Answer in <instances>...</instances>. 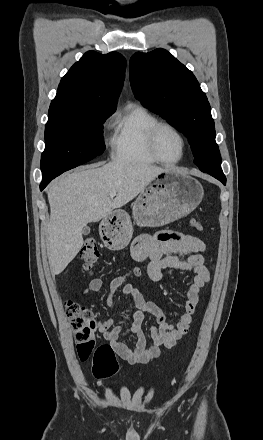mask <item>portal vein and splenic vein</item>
Listing matches in <instances>:
<instances>
[{
	"label": "portal vein and splenic vein",
	"instance_id": "18ae733b",
	"mask_svg": "<svg viewBox=\"0 0 263 440\" xmlns=\"http://www.w3.org/2000/svg\"><path fill=\"white\" fill-rule=\"evenodd\" d=\"M109 195H110L111 198L115 197V196H116V191H112V192H110Z\"/></svg>",
	"mask_w": 263,
	"mask_h": 440
}]
</instances>
